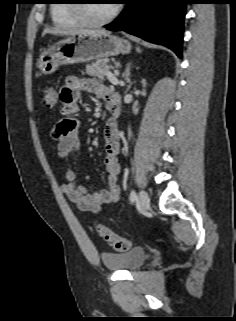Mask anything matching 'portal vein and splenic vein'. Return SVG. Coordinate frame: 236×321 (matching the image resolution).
Returning <instances> with one entry per match:
<instances>
[{
	"instance_id": "portal-vein-and-splenic-vein-1",
	"label": "portal vein and splenic vein",
	"mask_w": 236,
	"mask_h": 321,
	"mask_svg": "<svg viewBox=\"0 0 236 321\" xmlns=\"http://www.w3.org/2000/svg\"><path fill=\"white\" fill-rule=\"evenodd\" d=\"M106 76H107L108 80H109L112 84H114V85H118V84H119V81H118L116 75L113 74L112 72L107 71V72H106Z\"/></svg>"
}]
</instances>
